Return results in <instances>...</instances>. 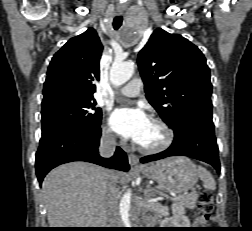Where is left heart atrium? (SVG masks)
Segmentation results:
<instances>
[{
    "label": "left heart atrium",
    "mask_w": 252,
    "mask_h": 231,
    "mask_svg": "<svg viewBox=\"0 0 252 231\" xmlns=\"http://www.w3.org/2000/svg\"><path fill=\"white\" fill-rule=\"evenodd\" d=\"M150 118L141 106L116 109L110 117L112 129L124 138L139 142L148 126Z\"/></svg>",
    "instance_id": "left-heart-atrium-1"
}]
</instances>
